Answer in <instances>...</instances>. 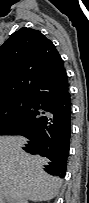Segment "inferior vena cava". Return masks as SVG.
Instances as JSON below:
<instances>
[{
    "instance_id": "602c4592",
    "label": "inferior vena cava",
    "mask_w": 89,
    "mask_h": 203,
    "mask_svg": "<svg viewBox=\"0 0 89 203\" xmlns=\"http://www.w3.org/2000/svg\"><path fill=\"white\" fill-rule=\"evenodd\" d=\"M17 203H24V200L22 198L18 199Z\"/></svg>"
}]
</instances>
